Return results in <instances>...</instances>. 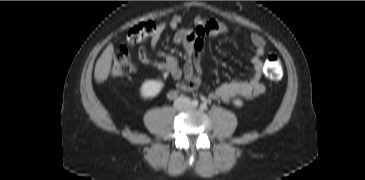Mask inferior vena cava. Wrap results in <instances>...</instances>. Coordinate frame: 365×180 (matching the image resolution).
<instances>
[{
	"instance_id": "inferior-vena-cava-1",
	"label": "inferior vena cava",
	"mask_w": 365,
	"mask_h": 180,
	"mask_svg": "<svg viewBox=\"0 0 365 180\" xmlns=\"http://www.w3.org/2000/svg\"><path fill=\"white\" fill-rule=\"evenodd\" d=\"M182 100H186L187 102H189V100L186 99V98H178V99L175 100V107L180 108V102Z\"/></svg>"
}]
</instances>
